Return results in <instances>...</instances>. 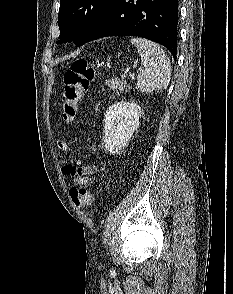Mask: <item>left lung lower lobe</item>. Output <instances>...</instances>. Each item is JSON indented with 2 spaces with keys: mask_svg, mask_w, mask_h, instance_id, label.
Here are the masks:
<instances>
[{
  "mask_svg": "<svg viewBox=\"0 0 233 294\" xmlns=\"http://www.w3.org/2000/svg\"><path fill=\"white\" fill-rule=\"evenodd\" d=\"M178 0H112L86 40L138 36L165 46L176 58Z\"/></svg>",
  "mask_w": 233,
  "mask_h": 294,
  "instance_id": "obj_1",
  "label": "left lung lower lobe"
}]
</instances>
